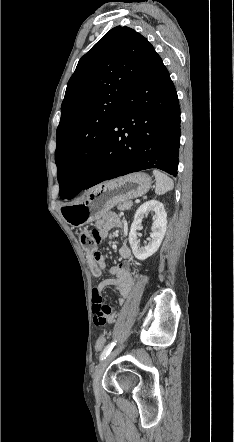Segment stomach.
Listing matches in <instances>:
<instances>
[{
  "label": "stomach",
  "mask_w": 234,
  "mask_h": 442,
  "mask_svg": "<svg viewBox=\"0 0 234 442\" xmlns=\"http://www.w3.org/2000/svg\"><path fill=\"white\" fill-rule=\"evenodd\" d=\"M151 184L146 173H132L92 188L81 202L62 207L61 213L72 226L87 224L101 218L115 205L146 194Z\"/></svg>",
  "instance_id": "stomach-1"
}]
</instances>
